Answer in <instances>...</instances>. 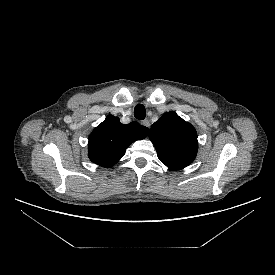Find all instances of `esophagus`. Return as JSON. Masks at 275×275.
<instances>
[{"mask_svg": "<svg viewBox=\"0 0 275 275\" xmlns=\"http://www.w3.org/2000/svg\"><path fill=\"white\" fill-rule=\"evenodd\" d=\"M141 124L143 126L147 127V128H150V122H149V120H144V121L141 122Z\"/></svg>", "mask_w": 275, "mask_h": 275, "instance_id": "obj_1", "label": "esophagus"}]
</instances>
